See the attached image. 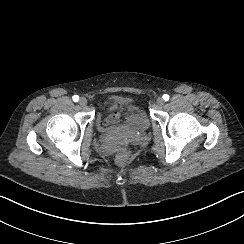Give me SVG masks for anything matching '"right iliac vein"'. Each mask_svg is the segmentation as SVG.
<instances>
[{"instance_id": "63e3f726", "label": "right iliac vein", "mask_w": 244, "mask_h": 244, "mask_svg": "<svg viewBox=\"0 0 244 244\" xmlns=\"http://www.w3.org/2000/svg\"><path fill=\"white\" fill-rule=\"evenodd\" d=\"M79 104H80V106H82V107L86 106V105H87V100H86V98H84V97L80 98V100H79Z\"/></svg>"}]
</instances>
